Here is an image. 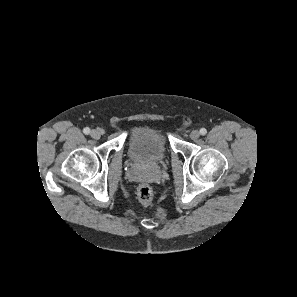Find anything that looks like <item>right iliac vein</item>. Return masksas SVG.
<instances>
[{
	"instance_id": "right-iliac-vein-1",
	"label": "right iliac vein",
	"mask_w": 297,
	"mask_h": 297,
	"mask_svg": "<svg viewBox=\"0 0 297 297\" xmlns=\"http://www.w3.org/2000/svg\"><path fill=\"white\" fill-rule=\"evenodd\" d=\"M90 136L93 139H99L101 137V131H100V129H93V130H91Z\"/></svg>"
}]
</instances>
